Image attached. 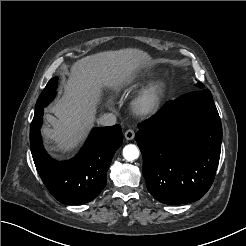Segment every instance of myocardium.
Returning <instances> with one entry per match:
<instances>
[{"mask_svg": "<svg viewBox=\"0 0 246 246\" xmlns=\"http://www.w3.org/2000/svg\"><path fill=\"white\" fill-rule=\"evenodd\" d=\"M165 93V85L161 81H154L144 87L133 101V110L139 116H150L160 107Z\"/></svg>", "mask_w": 246, "mask_h": 246, "instance_id": "f54148a6", "label": "myocardium"}]
</instances>
